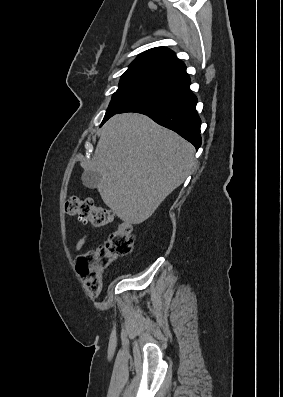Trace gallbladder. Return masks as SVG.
I'll list each match as a JSON object with an SVG mask.
<instances>
[{
    "label": "gallbladder",
    "mask_w": 283,
    "mask_h": 397,
    "mask_svg": "<svg viewBox=\"0 0 283 397\" xmlns=\"http://www.w3.org/2000/svg\"><path fill=\"white\" fill-rule=\"evenodd\" d=\"M81 179L85 187L94 189L101 180V174L92 170H86L83 172Z\"/></svg>",
    "instance_id": "obj_1"
}]
</instances>
